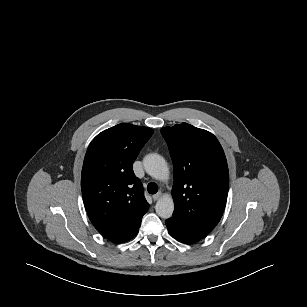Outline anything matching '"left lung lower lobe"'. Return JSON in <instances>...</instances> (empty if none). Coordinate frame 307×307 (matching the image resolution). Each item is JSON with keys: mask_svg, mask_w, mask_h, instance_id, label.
Segmentation results:
<instances>
[{"mask_svg": "<svg viewBox=\"0 0 307 307\" xmlns=\"http://www.w3.org/2000/svg\"><path fill=\"white\" fill-rule=\"evenodd\" d=\"M166 226L171 236H173L175 239H177L180 242L191 244L202 239V237L195 235L184 229L181 225H179L171 218L166 221Z\"/></svg>", "mask_w": 307, "mask_h": 307, "instance_id": "obj_1", "label": "left lung lower lobe"}]
</instances>
